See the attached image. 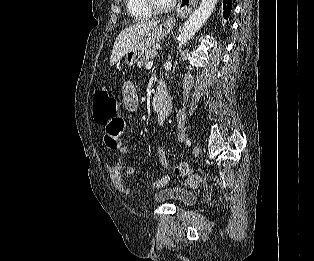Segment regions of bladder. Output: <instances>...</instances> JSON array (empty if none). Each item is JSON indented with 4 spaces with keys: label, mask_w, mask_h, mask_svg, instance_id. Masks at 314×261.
<instances>
[{
    "label": "bladder",
    "mask_w": 314,
    "mask_h": 261,
    "mask_svg": "<svg viewBox=\"0 0 314 261\" xmlns=\"http://www.w3.org/2000/svg\"><path fill=\"white\" fill-rule=\"evenodd\" d=\"M155 199L158 202H168L178 206H191L196 202L192 191L177 186H165L161 188L155 194Z\"/></svg>",
    "instance_id": "bladder-1"
}]
</instances>
